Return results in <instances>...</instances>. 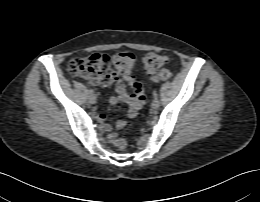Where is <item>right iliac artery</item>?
<instances>
[{"instance_id": "right-iliac-artery-1", "label": "right iliac artery", "mask_w": 260, "mask_h": 202, "mask_svg": "<svg viewBox=\"0 0 260 202\" xmlns=\"http://www.w3.org/2000/svg\"><path fill=\"white\" fill-rule=\"evenodd\" d=\"M88 93H89L90 95H93V94H94V91H93L92 89H90V90H88Z\"/></svg>"}]
</instances>
